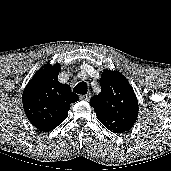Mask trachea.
<instances>
[{
    "label": "trachea",
    "instance_id": "1",
    "mask_svg": "<svg viewBox=\"0 0 171 171\" xmlns=\"http://www.w3.org/2000/svg\"><path fill=\"white\" fill-rule=\"evenodd\" d=\"M87 90H88V87L85 82H80L73 88L74 92L78 94H82V95L87 94Z\"/></svg>",
    "mask_w": 171,
    "mask_h": 171
}]
</instances>
